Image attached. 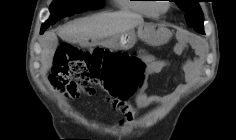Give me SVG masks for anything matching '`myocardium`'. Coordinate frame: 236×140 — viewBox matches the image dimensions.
<instances>
[{"mask_svg": "<svg viewBox=\"0 0 236 140\" xmlns=\"http://www.w3.org/2000/svg\"><path fill=\"white\" fill-rule=\"evenodd\" d=\"M170 7V4H157L155 9L158 13L165 14L169 11Z\"/></svg>", "mask_w": 236, "mask_h": 140, "instance_id": "obj_1", "label": "myocardium"}]
</instances>
